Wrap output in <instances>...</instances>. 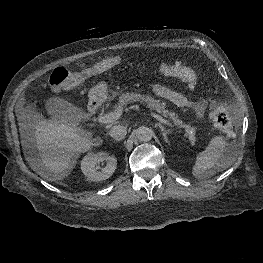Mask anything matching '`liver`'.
<instances>
[{"label": "liver", "instance_id": "1", "mask_svg": "<svg viewBox=\"0 0 263 263\" xmlns=\"http://www.w3.org/2000/svg\"><path fill=\"white\" fill-rule=\"evenodd\" d=\"M17 119L22 145L27 149L32 137L39 152L37 160L27 157L30 166L42 178L50 181L67 176L80 154L97 144L92 139V133L75 124L57 123L39 116L31 122V117H26L18 110Z\"/></svg>", "mask_w": 263, "mask_h": 263}]
</instances>
